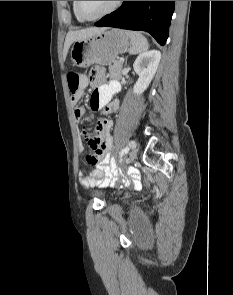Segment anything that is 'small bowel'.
<instances>
[{
  "instance_id": "obj_1",
  "label": "small bowel",
  "mask_w": 233,
  "mask_h": 295,
  "mask_svg": "<svg viewBox=\"0 0 233 295\" xmlns=\"http://www.w3.org/2000/svg\"><path fill=\"white\" fill-rule=\"evenodd\" d=\"M103 79L104 73L101 68L95 67L90 71L88 80L96 85L91 95L90 105L94 110H102V116L98 121L102 152L95 169L88 175L82 173L79 175V183L82 188L107 185L110 182L116 181L120 175L117 162L110 152L113 143L110 134L113 121L109 118L119 108V101L113 100L112 97L120 90V85L116 81L111 82L109 85H104ZM82 97L83 92L71 97V101L75 105L73 115L77 122L81 121L85 115V110L76 105Z\"/></svg>"
}]
</instances>
